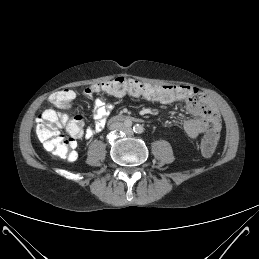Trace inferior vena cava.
<instances>
[{"label": "inferior vena cava", "instance_id": "602c4592", "mask_svg": "<svg viewBox=\"0 0 259 259\" xmlns=\"http://www.w3.org/2000/svg\"><path fill=\"white\" fill-rule=\"evenodd\" d=\"M118 127H121L120 123H116V124L111 125V129H117Z\"/></svg>", "mask_w": 259, "mask_h": 259}]
</instances>
